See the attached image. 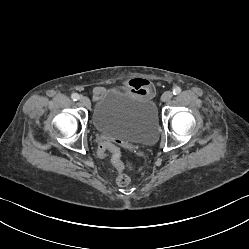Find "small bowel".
<instances>
[{"instance_id": "small-bowel-1", "label": "small bowel", "mask_w": 249, "mask_h": 249, "mask_svg": "<svg viewBox=\"0 0 249 249\" xmlns=\"http://www.w3.org/2000/svg\"><path fill=\"white\" fill-rule=\"evenodd\" d=\"M122 85L126 90L142 98H151L155 92L154 85L146 79L134 78L125 81ZM104 91L105 89L103 87H97L94 89V96L99 97Z\"/></svg>"}]
</instances>
